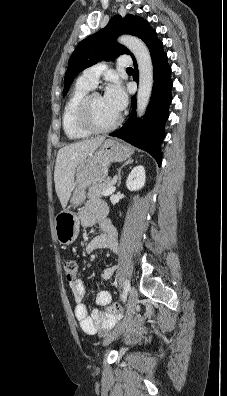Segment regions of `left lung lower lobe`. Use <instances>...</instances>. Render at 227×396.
<instances>
[{"label": "left lung lower lobe", "mask_w": 227, "mask_h": 396, "mask_svg": "<svg viewBox=\"0 0 227 396\" xmlns=\"http://www.w3.org/2000/svg\"><path fill=\"white\" fill-rule=\"evenodd\" d=\"M154 66V84L152 96L143 119L136 118V98L132 97V113L127 122L110 136L118 137L126 142L150 153L161 166L160 144L164 138V126L169 116V105L172 101L171 67L167 62V55L162 42L156 38L148 43ZM137 80V63L133 57Z\"/></svg>", "instance_id": "0a47b994"}]
</instances>
